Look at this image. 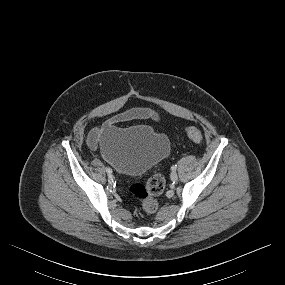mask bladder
Segmentation results:
<instances>
[{"instance_id": "obj_1", "label": "bladder", "mask_w": 285, "mask_h": 285, "mask_svg": "<svg viewBox=\"0 0 285 285\" xmlns=\"http://www.w3.org/2000/svg\"><path fill=\"white\" fill-rule=\"evenodd\" d=\"M100 149L104 159L126 174H142L170 151V141L148 125L122 128L105 124L100 129Z\"/></svg>"}]
</instances>
